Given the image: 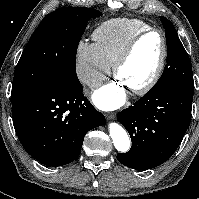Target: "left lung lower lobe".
<instances>
[{"label": "left lung lower lobe", "mask_w": 199, "mask_h": 199, "mask_svg": "<svg viewBox=\"0 0 199 199\" xmlns=\"http://www.w3.org/2000/svg\"><path fill=\"white\" fill-rule=\"evenodd\" d=\"M194 84H177L149 91L117 120L128 130L132 146L117 159L136 170L157 167L179 147L191 120Z\"/></svg>", "instance_id": "0a47b994"}]
</instances>
